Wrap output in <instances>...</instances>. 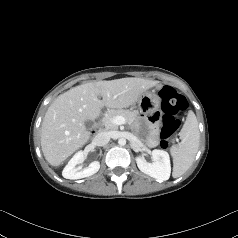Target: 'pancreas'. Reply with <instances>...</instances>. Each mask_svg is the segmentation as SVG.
<instances>
[{"instance_id": "cf45deb5", "label": "pancreas", "mask_w": 238, "mask_h": 238, "mask_svg": "<svg viewBox=\"0 0 238 238\" xmlns=\"http://www.w3.org/2000/svg\"><path fill=\"white\" fill-rule=\"evenodd\" d=\"M116 116L124 117L129 123H133L136 119L137 113L129 110H110L106 113L103 118V124L106 130H116L118 127L117 125L112 123V119Z\"/></svg>"}]
</instances>
